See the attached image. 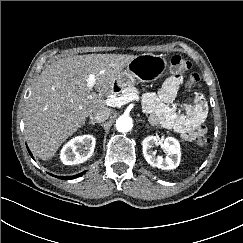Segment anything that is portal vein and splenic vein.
I'll return each mask as SVG.
<instances>
[{
    "mask_svg": "<svg viewBox=\"0 0 243 243\" xmlns=\"http://www.w3.org/2000/svg\"><path fill=\"white\" fill-rule=\"evenodd\" d=\"M95 83H96V76L94 74H90L87 79V87L89 89H92ZM133 100L138 101L139 96L135 93H129L124 96L106 99L105 104L110 107H121L122 105H125Z\"/></svg>",
    "mask_w": 243,
    "mask_h": 243,
    "instance_id": "18ae733b",
    "label": "portal vein and splenic vein"
}]
</instances>
